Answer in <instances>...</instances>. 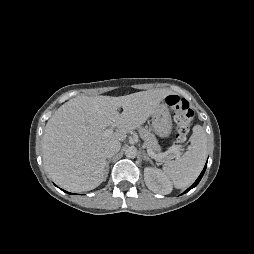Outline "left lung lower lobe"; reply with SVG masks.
Here are the masks:
<instances>
[{
    "mask_svg": "<svg viewBox=\"0 0 254 254\" xmlns=\"http://www.w3.org/2000/svg\"><path fill=\"white\" fill-rule=\"evenodd\" d=\"M207 166V164H206ZM206 166L204 167L203 171L201 172V174L199 175V177L197 178V180L193 183L192 186H190L184 193L188 192L189 190H191L192 188H194L195 186H197V184L200 182L205 170H206Z\"/></svg>",
    "mask_w": 254,
    "mask_h": 254,
    "instance_id": "left-lung-lower-lobe-1",
    "label": "left lung lower lobe"
}]
</instances>
